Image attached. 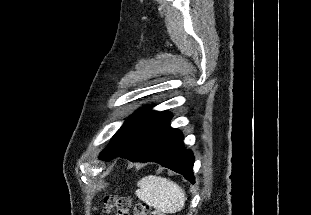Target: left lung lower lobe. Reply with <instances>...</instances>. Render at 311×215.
I'll list each match as a JSON object with an SVG mask.
<instances>
[{
	"label": "left lung lower lobe",
	"instance_id": "obj_1",
	"mask_svg": "<svg viewBox=\"0 0 311 215\" xmlns=\"http://www.w3.org/2000/svg\"><path fill=\"white\" fill-rule=\"evenodd\" d=\"M170 119L171 115L168 112L156 114L132 143L112 158L123 157L134 162H156L195 183L193 153L184 148L183 135L179 130L170 127Z\"/></svg>",
	"mask_w": 311,
	"mask_h": 215
}]
</instances>
